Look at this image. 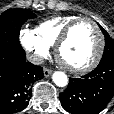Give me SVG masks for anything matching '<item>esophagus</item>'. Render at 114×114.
<instances>
[{
    "label": "esophagus",
    "instance_id": "34e87169",
    "mask_svg": "<svg viewBox=\"0 0 114 114\" xmlns=\"http://www.w3.org/2000/svg\"><path fill=\"white\" fill-rule=\"evenodd\" d=\"M52 70L51 69H48V68H45L44 70H43V73H44V76L45 77H49L51 74H52Z\"/></svg>",
    "mask_w": 114,
    "mask_h": 114
}]
</instances>
